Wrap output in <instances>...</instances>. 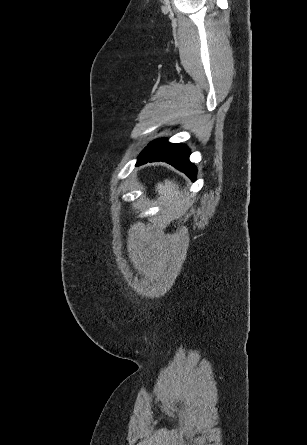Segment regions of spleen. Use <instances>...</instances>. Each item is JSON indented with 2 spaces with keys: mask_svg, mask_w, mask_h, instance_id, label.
<instances>
[{
  "mask_svg": "<svg viewBox=\"0 0 307 445\" xmlns=\"http://www.w3.org/2000/svg\"><path fill=\"white\" fill-rule=\"evenodd\" d=\"M155 190L159 194L160 202L175 210H187L191 204L187 196L181 194L179 184H176L175 180L165 178L164 182H157Z\"/></svg>",
  "mask_w": 307,
  "mask_h": 445,
  "instance_id": "3e777b00",
  "label": "spleen"
}]
</instances>
